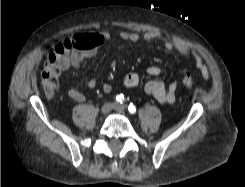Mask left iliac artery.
Listing matches in <instances>:
<instances>
[{
    "instance_id": "obj_1",
    "label": "left iliac artery",
    "mask_w": 245,
    "mask_h": 187,
    "mask_svg": "<svg viewBox=\"0 0 245 187\" xmlns=\"http://www.w3.org/2000/svg\"><path fill=\"white\" fill-rule=\"evenodd\" d=\"M128 110L130 113H135L136 107L132 103H130V105L128 106Z\"/></svg>"
}]
</instances>
